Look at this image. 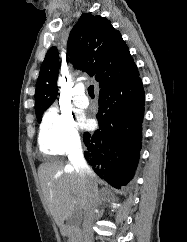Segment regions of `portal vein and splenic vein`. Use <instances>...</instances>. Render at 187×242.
<instances>
[{
  "label": "portal vein and splenic vein",
  "mask_w": 187,
  "mask_h": 242,
  "mask_svg": "<svg viewBox=\"0 0 187 242\" xmlns=\"http://www.w3.org/2000/svg\"><path fill=\"white\" fill-rule=\"evenodd\" d=\"M74 203H75V204H77V202H76V201H74ZM79 208H80V207L78 206V207H77V209H79Z\"/></svg>",
  "instance_id": "18ae733b"
}]
</instances>
